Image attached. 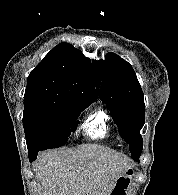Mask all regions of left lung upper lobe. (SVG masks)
Here are the masks:
<instances>
[{
	"mask_svg": "<svg viewBox=\"0 0 178 195\" xmlns=\"http://www.w3.org/2000/svg\"><path fill=\"white\" fill-rule=\"evenodd\" d=\"M99 98L107 105L119 134L129 143L131 157L138 161L143 148L140 130L145 123L143 91L132 66L110 52L105 60L93 61Z\"/></svg>",
	"mask_w": 178,
	"mask_h": 195,
	"instance_id": "1",
	"label": "left lung upper lobe"
}]
</instances>
